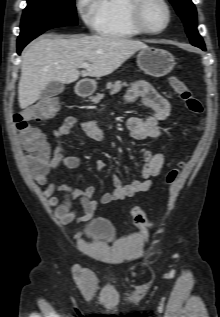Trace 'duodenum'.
<instances>
[{
	"mask_svg": "<svg viewBox=\"0 0 220 317\" xmlns=\"http://www.w3.org/2000/svg\"><path fill=\"white\" fill-rule=\"evenodd\" d=\"M91 91V87L90 85L83 83V82H79L76 85V93L78 96L80 97H85L87 96Z\"/></svg>",
	"mask_w": 220,
	"mask_h": 317,
	"instance_id": "410a0bca",
	"label": "duodenum"
}]
</instances>
